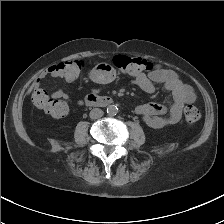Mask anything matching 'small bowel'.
<instances>
[{
	"label": "small bowel",
	"instance_id": "small-bowel-1",
	"mask_svg": "<svg viewBox=\"0 0 224 224\" xmlns=\"http://www.w3.org/2000/svg\"><path fill=\"white\" fill-rule=\"evenodd\" d=\"M56 65L53 64L45 69L33 81L32 87L37 90L40 89L42 81L47 76L61 77L56 70ZM115 71L108 64H99L95 66L90 72L91 80L106 85L115 79ZM132 82L137 85L141 90L148 94H153L156 91L154 83H162L165 88L171 92L173 104L167 107L163 104L148 103L136 107L135 112L141 117L143 122L151 128L159 129L169 125L176 124L182 117V109L186 103H191L195 100L193 89L184 83L177 73L173 70L162 67L161 65L154 66V69L147 74H140L132 79ZM102 88H94L86 96H95L99 94ZM55 98H62L70 100V97L62 88H57L53 92ZM85 98V100H86ZM78 105H82L84 100L79 99L75 101Z\"/></svg>",
	"mask_w": 224,
	"mask_h": 224
}]
</instances>
